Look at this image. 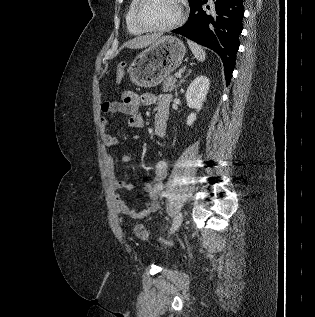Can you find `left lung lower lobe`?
<instances>
[{"mask_svg":"<svg viewBox=\"0 0 315 317\" xmlns=\"http://www.w3.org/2000/svg\"><path fill=\"white\" fill-rule=\"evenodd\" d=\"M207 1L193 0L188 21L172 32L214 50L223 61L226 84L229 85L243 29V0H213L205 11L202 5Z\"/></svg>","mask_w":315,"mask_h":317,"instance_id":"obj_1","label":"left lung lower lobe"}]
</instances>
